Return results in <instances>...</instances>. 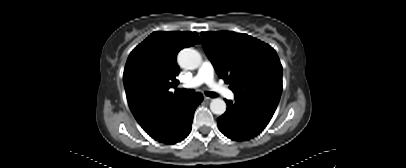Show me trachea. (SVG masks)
Instances as JSON below:
<instances>
[{
  "label": "trachea",
  "mask_w": 406,
  "mask_h": 168,
  "mask_svg": "<svg viewBox=\"0 0 406 168\" xmlns=\"http://www.w3.org/2000/svg\"><path fill=\"white\" fill-rule=\"evenodd\" d=\"M180 92L183 94V95H191V94H193L194 93V90H192V89H182V90H180ZM205 94L207 95V96H209V97H217L218 96V94H216V93H214V92H205Z\"/></svg>",
  "instance_id": "1"
}]
</instances>
